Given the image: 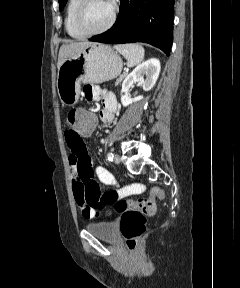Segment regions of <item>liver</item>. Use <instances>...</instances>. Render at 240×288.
Listing matches in <instances>:
<instances>
[{"instance_id":"liver-1","label":"liver","mask_w":240,"mask_h":288,"mask_svg":"<svg viewBox=\"0 0 240 288\" xmlns=\"http://www.w3.org/2000/svg\"><path fill=\"white\" fill-rule=\"evenodd\" d=\"M90 44L91 42L82 41V42H73V43L62 45L60 47L59 55H58V64H57L58 69L69 57L81 52Z\"/></svg>"}]
</instances>
